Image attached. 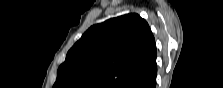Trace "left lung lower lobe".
Here are the masks:
<instances>
[{
    "mask_svg": "<svg viewBox=\"0 0 223 88\" xmlns=\"http://www.w3.org/2000/svg\"><path fill=\"white\" fill-rule=\"evenodd\" d=\"M157 66H154L145 76L135 82L130 88H155Z\"/></svg>",
    "mask_w": 223,
    "mask_h": 88,
    "instance_id": "obj_1",
    "label": "left lung lower lobe"
}]
</instances>
